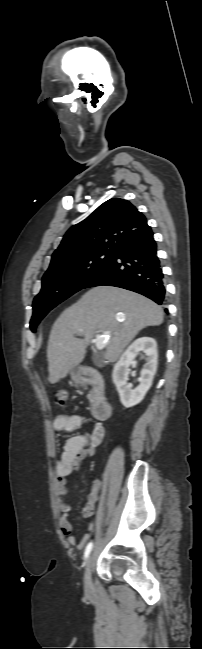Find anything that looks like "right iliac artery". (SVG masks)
<instances>
[{"label": "right iliac artery", "instance_id": "1", "mask_svg": "<svg viewBox=\"0 0 202 649\" xmlns=\"http://www.w3.org/2000/svg\"><path fill=\"white\" fill-rule=\"evenodd\" d=\"M92 547H93V543H92V542H90V543L86 546V548H85V552H84V558H85V559L89 556V554H90V552H91V550H92Z\"/></svg>", "mask_w": 202, "mask_h": 649}]
</instances>
